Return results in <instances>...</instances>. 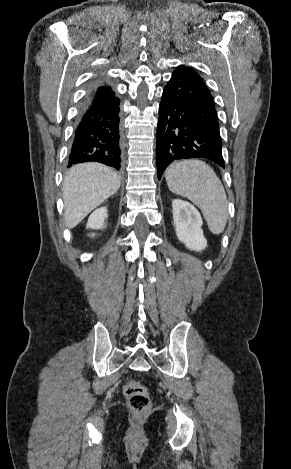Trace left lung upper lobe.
I'll return each instance as SVG.
<instances>
[{
	"label": "left lung upper lobe",
	"mask_w": 291,
	"mask_h": 469,
	"mask_svg": "<svg viewBox=\"0 0 291 469\" xmlns=\"http://www.w3.org/2000/svg\"><path fill=\"white\" fill-rule=\"evenodd\" d=\"M179 68H184L185 70H187V72L192 75L194 78L200 80L202 82V79L200 78V76L192 69V68H186L184 66H179Z\"/></svg>",
	"instance_id": "5c2ea615"
}]
</instances>
